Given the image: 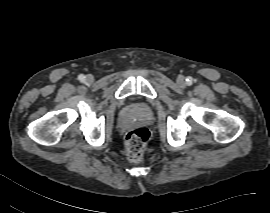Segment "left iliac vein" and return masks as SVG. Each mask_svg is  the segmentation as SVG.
Returning <instances> with one entry per match:
<instances>
[{
    "mask_svg": "<svg viewBox=\"0 0 270 213\" xmlns=\"http://www.w3.org/2000/svg\"><path fill=\"white\" fill-rule=\"evenodd\" d=\"M179 83H180V84L183 83V78H182V77L179 78Z\"/></svg>",
    "mask_w": 270,
    "mask_h": 213,
    "instance_id": "obj_1",
    "label": "left iliac vein"
}]
</instances>
